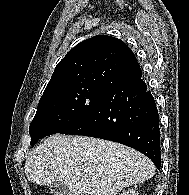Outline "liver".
Segmentation results:
<instances>
[{
  "label": "liver",
  "instance_id": "6515ba94",
  "mask_svg": "<svg viewBox=\"0 0 189 195\" xmlns=\"http://www.w3.org/2000/svg\"><path fill=\"white\" fill-rule=\"evenodd\" d=\"M28 181L68 186V195H117L153 177L152 161L122 144L87 136L55 134L28 155Z\"/></svg>",
  "mask_w": 189,
  "mask_h": 195
}]
</instances>
